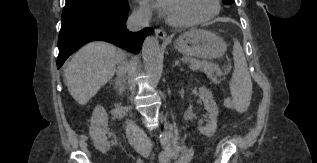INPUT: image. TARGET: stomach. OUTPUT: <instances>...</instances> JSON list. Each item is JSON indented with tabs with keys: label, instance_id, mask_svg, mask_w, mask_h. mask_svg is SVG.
Here are the masks:
<instances>
[{
	"label": "stomach",
	"instance_id": "stomach-1",
	"mask_svg": "<svg viewBox=\"0 0 317 163\" xmlns=\"http://www.w3.org/2000/svg\"><path fill=\"white\" fill-rule=\"evenodd\" d=\"M175 47L185 55L203 59L219 58L227 49L225 42L217 34L201 29H191L181 34Z\"/></svg>",
	"mask_w": 317,
	"mask_h": 163
}]
</instances>
